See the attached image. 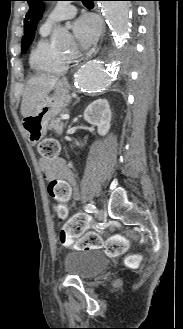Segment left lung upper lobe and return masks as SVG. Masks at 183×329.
<instances>
[{"instance_id":"left-lung-upper-lobe-1","label":"left lung upper lobe","mask_w":183,"mask_h":329,"mask_svg":"<svg viewBox=\"0 0 183 329\" xmlns=\"http://www.w3.org/2000/svg\"><path fill=\"white\" fill-rule=\"evenodd\" d=\"M28 2L29 11L24 19V36L22 38V53H26L32 43L35 34L34 31L44 11L43 1L47 0H25Z\"/></svg>"}]
</instances>
